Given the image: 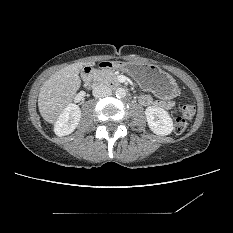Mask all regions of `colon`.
<instances>
[{
  "label": "colon",
  "instance_id": "obj_1",
  "mask_svg": "<svg viewBox=\"0 0 233 233\" xmlns=\"http://www.w3.org/2000/svg\"><path fill=\"white\" fill-rule=\"evenodd\" d=\"M195 114V107L193 103L188 102L180 106V115L175 120V132L177 134L183 133L188 125V122Z\"/></svg>",
  "mask_w": 233,
  "mask_h": 233
}]
</instances>
